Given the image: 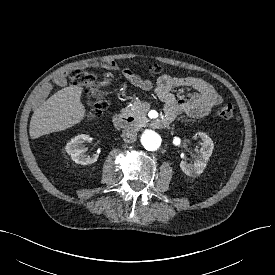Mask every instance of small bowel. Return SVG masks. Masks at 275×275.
Here are the masks:
<instances>
[{
	"label": "small bowel",
	"instance_id": "obj_1",
	"mask_svg": "<svg viewBox=\"0 0 275 275\" xmlns=\"http://www.w3.org/2000/svg\"><path fill=\"white\" fill-rule=\"evenodd\" d=\"M125 77L135 86L150 91L154 84L150 80H144L129 70L124 71ZM58 86L66 84L65 75L62 74L55 79ZM177 87H187L192 93L187 98H176L173 90ZM156 95L165 103V115L174 119L177 115L184 113L190 117H204L212 109L222 103L221 96L212 85L203 79L196 77H172L162 75L158 78L154 88Z\"/></svg>",
	"mask_w": 275,
	"mask_h": 275
}]
</instances>
